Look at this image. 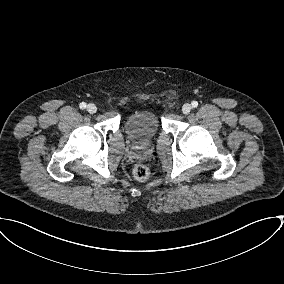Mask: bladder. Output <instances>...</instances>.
<instances>
[{
	"instance_id": "1",
	"label": "bladder",
	"mask_w": 284,
	"mask_h": 284,
	"mask_svg": "<svg viewBox=\"0 0 284 284\" xmlns=\"http://www.w3.org/2000/svg\"><path fill=\"white\" fill-rule=\"evenodd\" d=\"M125 129L134 144L146 145L158 133L159 118L153 110L140 109L128 116Z\"/></svg>"
}]
</instances>
